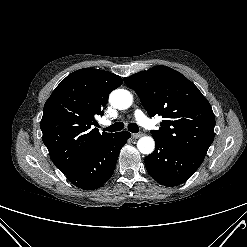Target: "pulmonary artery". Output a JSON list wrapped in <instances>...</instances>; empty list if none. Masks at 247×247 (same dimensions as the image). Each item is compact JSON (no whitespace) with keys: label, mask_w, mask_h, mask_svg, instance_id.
<instances>
[{"label":"pulmonary artery","mask_w":247,"mask_h":247,"mask_svg":"<svg viewBox=\"0 0 247 247\" xmlns=\"http://www.w3.org/2000/svg\"><path fill=\"white\" fill-rule=\"evenodd\" d=\"M134 116L136 120L145 128H153L152 122L144 115V113L141 110H136L134 112ZM104 125H110V121H104Z\"/></svg>","instance_id":"pulmonary-artery-1"}]
</instances>
